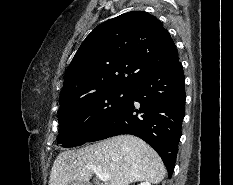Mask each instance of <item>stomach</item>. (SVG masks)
Listing matches in <instances>:
<instances>
[{
	"label": "stomach",
	"instance_id": "obj_1",
	"mask_svg": "<svg viewBox=\"0 0 233 185\" xmlns=\"http://www.w3.org/2000/svg\"><path fill=\"white\" fill-rule=\"evenodd\" d=\"M68 185H88L85 182L72 181Z\"/></svg>",
	"mask_w": 233,
	"mask_h": 185
}]
</instances>
